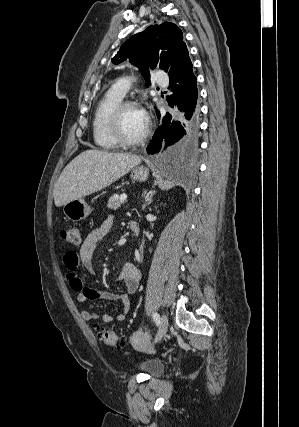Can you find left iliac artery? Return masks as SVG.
I'll list each match as a JSON object with an SVG mask.
<instances>
[{
	"mask_svg": "<svg viewBox=\"0 0 299 427\" xmlns=\"http://www.w3.org/2000/svg\"><path fill=\"white\" fill-rule=\"evenodd\" d=\"M153 319H154L156 325L160 324V316L158 313H156V312L153 313Z\"/></svg>",
	"mask_w": 299,
	"mask_h": 427,
	"instance_id": "left-iliac-artery-1",
	"label": "left iliac artery"
}]
</instances>
